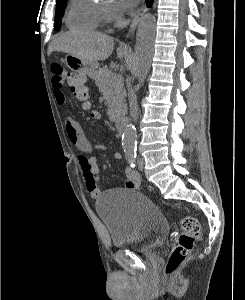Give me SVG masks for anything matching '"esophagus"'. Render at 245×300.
I'll return each mask as SVG.
<instances>
[{"label": "esophagus", "mask_w": 245, "mask_h": 300, "mask_svg": "<svg viewBox=\"0 0 245 300\" xmlns=\"http://www.w3.org/2000/svg\"><path fill=\"white\" fill-rule=\"evenodd\" d=\"M146 10H147V7L145 5H142L140 7V9L138 10L137 14L135 15L132 23L129 26L128 32L126 34V37H129V36H131L134 33L137 25L141 21V19H142L144 13L146 12Z\"/></svg>", "instance_id": "obj_1"}]
</instances>
